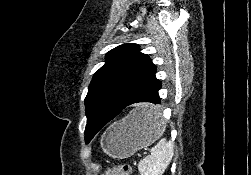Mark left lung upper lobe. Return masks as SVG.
<instances>
[{
	"instance_id": "5c2ea615",
	"label": "left lung upper lobe",
	"mask_w": 251,
	"mask_h": 175,
	"mask_svg": "<svg viewBox=\"0 0 251 175\" xmlns=\"http://www.w3.org/2000/svg\"><path fill=\"white\" fill-rule=\"evenodd\" d=\"M155 68L151 58L134 43L120 45L107 53L105 64L94 74L85 98L86 143L104 127L94 116L95 111L110 103H126L140 81Z\"/></svg>"
}]
</instances>
